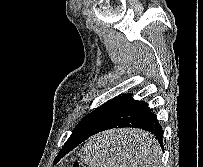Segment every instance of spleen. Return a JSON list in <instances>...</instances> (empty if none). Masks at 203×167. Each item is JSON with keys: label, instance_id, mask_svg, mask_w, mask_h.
<instances>
[{"label": "spleen", "instance_id": "1", "mask_svg": "<svg viewBox=\"0 0 203 167\" xmlns=\"http://www.w3.org/2000/svg\"><path fill=\"white\" fill-rule=\"evenodd\" d=\"M137 143L145 147L139 153V160L143 166L139 167H161L160 147L158 142L149 134L141 133ZM114 137L98 135L89 140L82 149L81 158L85 164L92 167H127L126 161L120 160L118 153L112 147ZM133 164L132 167H134Z\"/></svg>", "mask_w": 203, "mask_h": 167}]
</instances>
